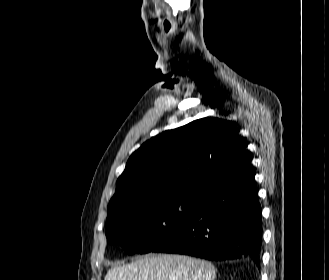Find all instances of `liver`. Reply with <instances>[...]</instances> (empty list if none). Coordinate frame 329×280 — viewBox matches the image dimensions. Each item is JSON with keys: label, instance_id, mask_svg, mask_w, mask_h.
<instances>
[{"label": "liver", "instance_id": "liver-1", "mask_svg": "<svg viewBox=\"0 0 329 280\" xmlns=\"http://www.w3.org/2000/svg\"><path fill=\"white\" fill-rule=\"evenodd\" d=\"M210 262L185 255L149 254L126 265L115 264L104 280H214Z\"/></svg>", "mask_w": 329, "mask_h": 280}]
</instances>
